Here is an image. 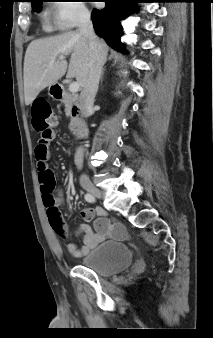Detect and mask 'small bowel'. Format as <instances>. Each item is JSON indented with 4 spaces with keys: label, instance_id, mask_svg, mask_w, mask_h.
<instances>
[{
    "label": "small bowel",
    "instance_id": "c3829d8e",
    "mask_svg": "<svg viewBox=\"0 0 213 338\" xmlns=\"http://www.w3.org/2000/svg\"><path fill=\"white\" fill-rule=\"evenodd\" d=\"M55 135L52 133L48 137H41L38 141V144L35 148V159L37 163H46L50 159V145L54 141ZM83 162V149H78L75 154V163L78 167H81ZM56 208L58 209L64 202L62 193H59L56 197ZM48 210V217L50 210ZM101 215V213H100ZM81 216L85 220H91L94 216V210L91 208H84L81 211ZM102 216V215H101ZM95 229L88 224H81L78 228L79 233L83 236V246H79L77 242H70L67 246L68 252L74 256H80L86 254L92 247L98 245L103 240H105L110 234L127 238V231L119 226H113L104 219L95 223ZM54 230L61 236H67V224L63 222L59 227L54 228Z\"/></svg>",
    "mask_w": 213,
    "mask_h": 338
}]
</instances>
